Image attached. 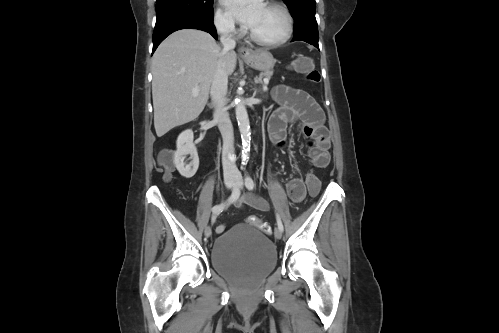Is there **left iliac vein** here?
I'll list each match as a JSON object with an SVG mask.
<instances>
[{"label":"left iliac vein","instance_id":"obj_1","mask_svg":"<svg viewBox=\"0 0 499 333\" xmlns=\"http://www.w3.org/2000/svg\"><path fill=\"white\" fill-rule=\"evenodd\" d=\"M235 184L238 188H242L243 187V179L240 175H236L235 177ZM274 235L277 239H281L282 238V231L279 229V228H276L275 229V232H274Z\"/></svg>","mask_w":499,"mask_h":333}]
</instances>
